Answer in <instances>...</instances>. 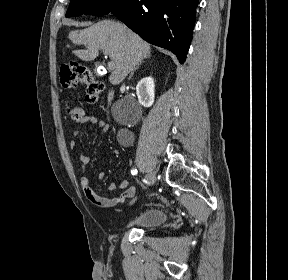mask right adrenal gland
Listing matches in <instances>:
<instances>
[{"label":"right adrenal gland","mask_w":288,"mask_h":280,"mask_svg":"<svg viewBox=\"0 0 288 280\" xmlns=\"http://www.w3.org/2000/svg\"><path fill=\"white\" fill-rule=\"evenodd\" d=\"M141 64H142V61L139 62V63L133 68V70L131 71V74H130V76H129V79L133 76L134 71H136L137 69H139V67H140Z\"/></svg>","instance_id":"obj_1"}]
</instances>
